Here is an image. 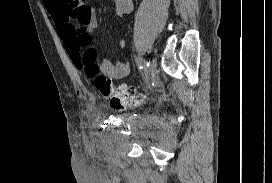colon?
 I'll return each instance as SVG.
<instances>
[{"instance_id": "obj_1", "label": "colon", "mask_w": 272, "mask_h": 183, "mask_svg": "<svg viewBox=\"0 0 272 183\" xmlns=\"http://www.w3.org/2000/svg\"><path fill=\"white\" fill-rule=\"evenodd\" d=\"M83 70L99 93L107 100L111 108L122 110L140 105L144 97L128 90L126 87H117L101 73L96 62V50L90 45L83 51L81 60Z\"/></svg>"}]
</instances>
